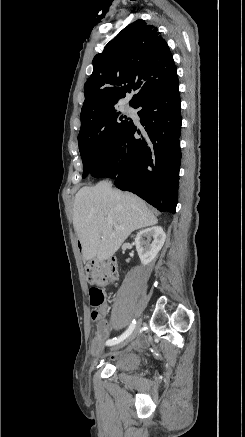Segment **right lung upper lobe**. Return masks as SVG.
<instances>
[{"label": "right lung upper lobe", "mask_w": 245, "mask_h": 437, "mask_svg": "<svg viewBox=\"0 0 245 437\" xmlns=\"http://www.w3.org/2000/svg\"><path fill=\"white\" fill-rule=\"evenodd\" d=\"M179 85L167 42L142 19L125 27L93 59V73L84 85L81 125L114 107L133 89L130 104Z\"/></svg>", "instance_id": "cb5924a9"}]
</instances>
